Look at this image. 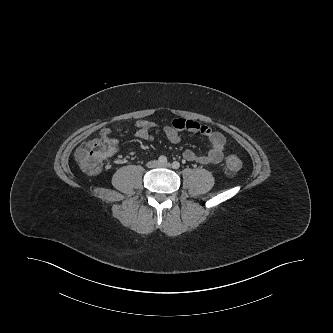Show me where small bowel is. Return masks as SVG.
<instances>
[{
  "label": "small bowel",
  "mask_w": 333,
  "mask_h": 333,
  "mask_svg": "<svg viewBox=\"0 0 333 333\" xmlns=\"http://www.w3.org/2000/svg\"><path fill=\"white\" fill-rule=\"evenodd\" d=\"M156 125L149 121H138L135 126V136L142 140H153L151 130ZM188 131L204 136L210 143L209 150L200 155L192 150H186L183 153V158L192 163H199L206 166H216L223 160L226 148L225 137L217 131L211 130L208 126L201 125L193 120L174 119L170 125L163 127V133L171 143H178L181 139L180 133ZM112 130L108 127L102 128L99 131V136L106 141L111 148V152L116 151L118 143L111 137Z\"/></svg>",
  "instance_id": "1"
}]
</instances>
